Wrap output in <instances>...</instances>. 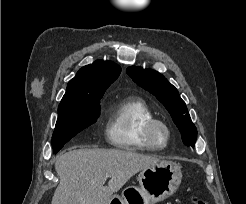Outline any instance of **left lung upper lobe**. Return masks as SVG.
<instances>
[{"mask_svg":"<svg viewBox=\"0 0 246 204\" xmlns=\"http://www.w3.org/2000/svg\"><path fill=\"white\" fill-rule=\"evenodd\" d=\"M132 80L152 93L166 107L174 123L181 132L183 143L195 146L197 129L192 123L185 102L179 96L177 89L157 71L140 67H129L126 70Z\"/></svg>","mask_w":246,"mask_h":204,"instance_id":"left-lung-upper-lobe-1","label":"left lung upper lobe"}]
</instances>
